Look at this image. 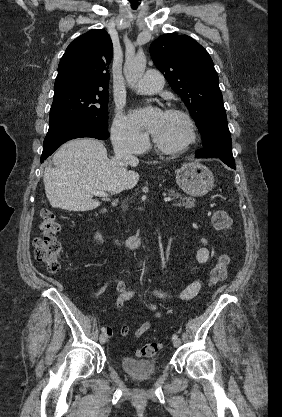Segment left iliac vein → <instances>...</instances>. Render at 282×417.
<instances>
[{"mask_svg":"<svg viewBox=\"0 0 282 417\" xmlns=\"http://www.w3.org/2000/svg\"><path fill=\"white\" fill-rule=\"evenodd\" d=\"M180 344H181L180 339H173V346H174V347H179V346H180Z\"/></svg>","mask_w":282,"mask_h":417,"instance_id":"1","label":"left iliac vein"}]
</instances>
